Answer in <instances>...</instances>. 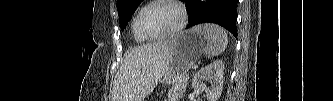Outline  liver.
<instances>
[{
    "mask_svg": "<svg viewBox=\"0 0 333 101\" xmlns=\"http://www.w3.org/2000/svg\"><path fill=\"white\" fill-rule=\"evenodd\" d=\"M170 52V40L132 49L115 75L112 101H143L164 76Z\"/></svg>",
    "mask_w": 333,
    "mask_h": 101,
    "instance_id": "6515ba94",
    "label": "liver"
}]
</instances>
